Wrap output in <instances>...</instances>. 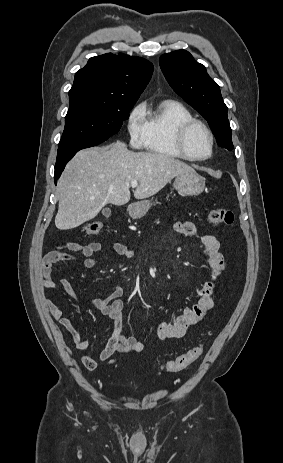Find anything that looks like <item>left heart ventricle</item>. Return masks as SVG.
<instances>
[{
	"mask_svg": "<svg viewBox=\"0 0 283 463\" xmlns=\"http://www.w3.org/2000/svg\"><path fill=\"white\" fill-rule=\"evenodd\" d=\"M187 147L194 156L204 157L210 153V139L203 128L196 126L189 132Z\"/></svg>",
	"mask_w": 283,
	"mask_h": 463,
	"instance_id": "1",
	"label": "left heart ventricle"
}]
</instances>
